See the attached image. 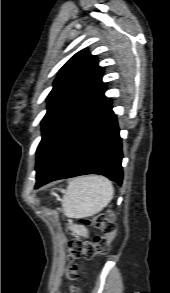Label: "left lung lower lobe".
I'll list each match as a JSON object with an SVG mask.
<instances>
[{
  "label": "left lung lower lobe",
  "instance_id": "obj_1",
  "mask_svg": "<svg viewBox=\"0 0 170 293\" xmlns=\"http://www.w3.org/2000/svg\"><path fill=\"white\" fill-rule=\"evenodd\" d=\"M121 148L116 115L108 99L75 133L47 170L36 176L35 188L85 174H101L120 185Z\"/></svg>",
  "mask_w": 170,
  "mask_h": 293
}]
</instances>
